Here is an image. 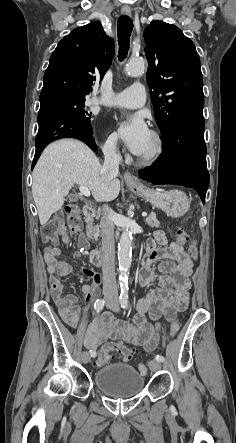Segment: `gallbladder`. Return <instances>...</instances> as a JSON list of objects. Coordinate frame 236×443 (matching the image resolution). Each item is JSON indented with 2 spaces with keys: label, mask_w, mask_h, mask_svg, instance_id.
Wrapping results in <instances>:
<instances>
[{
  "label": "gallbladder",
  "mask_w": 236,
  "mask_h": 443,
  "mask_svg": "<svg viewBox=\"0 0 236 443\" xmlns=\"http://www.w3.org/2000/svg\"><path fill=\"white\" fill-rule=\"evenodd\" d=\"M68 198H69V200H70L71 202H75V201L78 200V197H77L76 195H74V194H70V195L68 196Z\"/></svg>",
  "instance_id": "obj_1"
}]
</instances>
